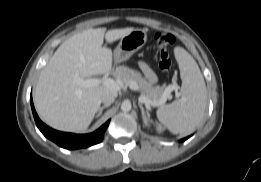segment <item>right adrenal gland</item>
Here are the masks:
<instances>
[{
	"label": "right adrenal gland",
	"mask_w": 261,
	"mask_h": 182,
	"mask_svg": "<svg viewBox=\"0 0 261 182\" xmlns=\"http://www.w3.org/2000/svg\"><path fill=\"white\" fill-rule=\"evenodd\" d=\"M107 107H109V105H104V106L100 107L99 110H98V113H97L96 117H99V116L102 114L103 110H104L105 108H107Z\"/></svg>",
	"instance_id": "obj_1"
}]
</instances>
